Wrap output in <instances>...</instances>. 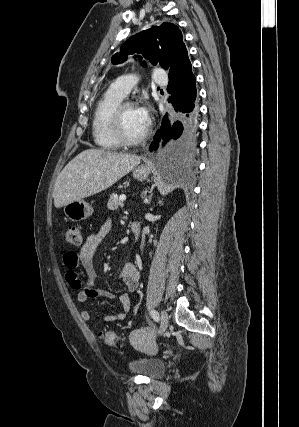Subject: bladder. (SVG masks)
<instances>
[{
    "label": "bladder",
    "instance_id": "bladder-1",
    "mask_svg": "<svg viewBox=\"0 0 299 427\" xmlns=\"http://www.w3.org/2000/svg\"><path fill=\"white\" fill-rule=\"evenodd\" d=\"M129 370L150 379L161 377L166 371V364L153 357L133 359L129 362Z\"/></svg>",
    "mask_w": 299,
    "mask_h": 427
}]
</instances>
